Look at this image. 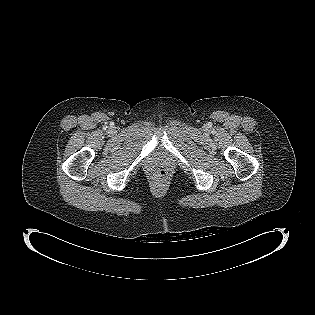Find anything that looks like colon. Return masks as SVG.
<instances>
[{
    "label": "colon",
    "instance_id": "1",
    "mask_svg": "<svg viewBox=\"0 0 315 315\" xmlns=\"http://www.w3.org/2000/svg\"><path fill=\"white\" fill-rule=\"evenodd\" d=\"M153 177L158 182H165L168 179L169 174L166 170L159 169L154 172Z\"/></svg>",
    "mask_w": 315,
    "mask_h": 315
}]
</instances>
